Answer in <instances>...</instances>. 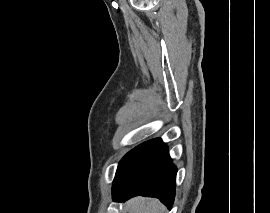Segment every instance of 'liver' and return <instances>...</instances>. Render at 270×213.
Wrapping results in <instances>:
<instances>
[{"instance_id":"6515ba94","label":"liver","mask_w":270,"mask_h":213,"mask_svg":"<svg viewBox=\"0 0 270 213\" xmlns=\"http://www.w3.org/2000/svg\"><path fill=\"white\" fill-rule=\"evenodd\" d=\"M129 213H161L163 206L157 199L136 197L126 204Z\"/></svg>"}]
</instances>
